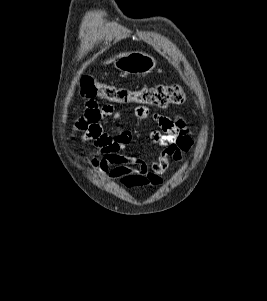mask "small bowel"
Wrapping results in <instances>:
<instances>
[{"instance_id": "obj_1", "label": "small bowel", "mask_w": 267, "mask_h": 301, "mask_svg": "<svg viewBox=\"0 0 267 301\" xmlns=\"http://www.w3.org/2000/svg\"><path fill=\"white\" fill-rule=\"evenodd\" d=\"M134 113L140 120L151 116L159 127L150 135L151 144L160 148L159 154L151 162L123 154L122 150L132 138L129 131L117 128L113 133L105 132L106 121L119 115L112 104L100 106L95 98L86 99L75 129L82 132L83 140L91 141L97 149L98 155L90 160L91 165L110 179L126 189L160 186L170 161L180 162L183 154L192 149L191 133L180 118L151 114L144 106L137 107Z\"/></svg>"}]
</instances>
